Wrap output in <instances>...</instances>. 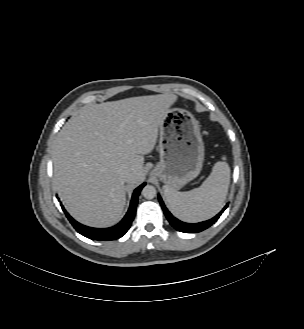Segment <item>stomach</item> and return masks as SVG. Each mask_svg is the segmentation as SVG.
<instances>
[{"mask_svg":"<svg viewBox=\"0 0 304 329\" xmlns=\"http://www.w3.org/2000/svg\"><path fill=\"white\" fill-rule=\"evenodd\" d=\"M160 162L151 171L167 186L178 189L202 170L204 143L199 122L187 110L172 108L160 124Z\"/></svg>","mask_w":304,"mask_h":329,"instance_id":"stomach-1","label":"stomach"}]
</instances>
